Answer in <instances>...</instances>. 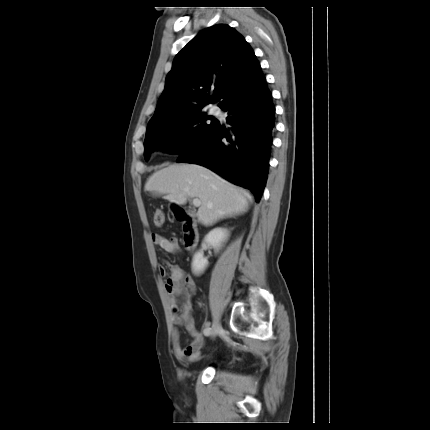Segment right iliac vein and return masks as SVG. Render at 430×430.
I'll return each instance as SVG.
<instances>
[{
	"label": "right iliac vein",
	"instance_id": "right-iliac-vein-1",
	"mask_svg": "<svg viewBox=\"0 0 430 430\" xmlns=\"http://www.w3.org/2000/svg\"><path fill=\"white\" fill-rule=\"evenodd\" d=\"M221 328L222 327H221L219 318L215 316L213 320L212 328H211V335L216 336L218 332L221 330Z\"/></svg>",
	"mask_w": 430,
	"mask_h": 430
}]
</instances>
